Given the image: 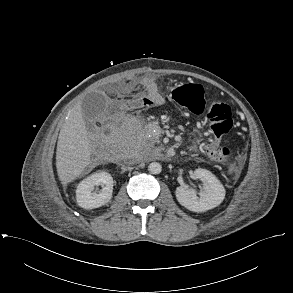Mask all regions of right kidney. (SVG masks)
<instances>
[{
    "instance_id": "1",
    "label": "right kidney",
    "mask_w": 293,
    "mask_h": 293,
    "mask_svg": "<svg viewBox=\"0 0 293 293\" xmlns=\"http://www.w3.org/2000/svg\"><path fill=\"white\" fill-rule=\"evenodd\" d=\"M98 185L102 186L101 191L98 194L92 192ZM112 192V176L105 171L96 172L78 184L76 189L77 204L84 209L99 208L110 202Z\"/></svg>"
}]
</instances>
